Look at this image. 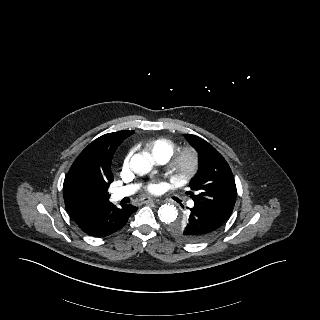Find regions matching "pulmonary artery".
<instances>
[{"instance_id": "pulmonary-artery-1", "label": "pulmonary artery", "mask_w": 320, "mask_h": 320, "mask_svg": "<svg viewBox=\"0 0 320 320\" xmlns=\"http://www.w3.org/2000/svg\"><path fill=\"white\" fill-rule=\"evenodd\" d=\"M167 160L168 159H166V158H161V159H158L157 162L163 164ZM138 188H139L138 185H128V186L117 188V189L114 190V192L112 194V199L115 200V201L121 200L124 197L132 195ZM188 206L189 207H193L194 206V202L190 201L188 203Z\"/></svg>"}]
</instances>
